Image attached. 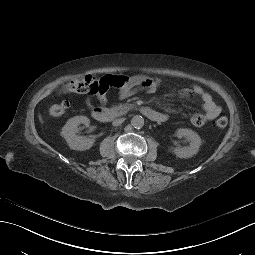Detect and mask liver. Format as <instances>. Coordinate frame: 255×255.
Returning a JSON list of instances; mask_svg holds the SVG:
<instances>
[{
  "label": "liver",
  "mask_w": 255,
  "mask_h": 255,
  "mask_svg": "<svg viewBox=\"0 0 255 255\" xmlns=\"http://www.w3.org/2000/svg\"><path fill=\"white\" fill-rule=\"evenodd\" d=\"M39 120H40L41 123H43V120H42V117H41V116H39Z\"/></svg>",
  "instance_id": "liver-1"
}]
</instances>
